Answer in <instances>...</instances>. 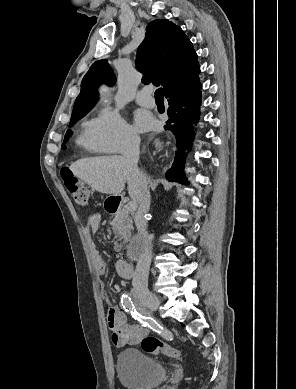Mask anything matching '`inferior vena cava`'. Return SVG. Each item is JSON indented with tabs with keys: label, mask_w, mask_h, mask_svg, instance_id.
<instances>
[{
	"label": "inferior vena cava",
	"mask_w": 296,
	"mask_h": 389,
	"mask_svg": "<svg viewBox=\"0 0 296 389\" xmlns=\"http://www.w3.org/2000/svg\"><path fill=\"white\" fill-rule=\"evenodd\" d=\"M140 137L135 133H129L126 136L123 155L126 158L132 173L137 177L141 185V198L138 210L135 214V224L138 234L144 239L146 244L151 240L147 233L146 214L150 209V192L145 176L138 168ZM151 263V256L147 251L137 263L136 271L132 280L133 290L140 300H146L151 297L148 289V276Z\"/></svg>",
	"instance_id": "1"
}]
</instances>
